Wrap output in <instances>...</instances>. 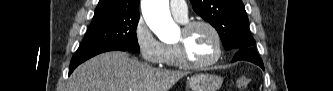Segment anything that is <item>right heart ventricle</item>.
<instances>
[{
	"label": "right heart ventricle",
	"mask_w": 333,
	"mask_h": 91,
	"mask_svg": "<svg viewBox=\"0 0 333 91\" xmlns=\"http://www.w3.org/2000/svg\"><path fill=\"white\" fill-rule=\"evenodd\" d=\"M164 47H165V56L163 63L167 65H178L176 61L174 45H164Z\"/></svg>",
	"instance_id": "right-heart-ventricle-1"
}]
</instances>
